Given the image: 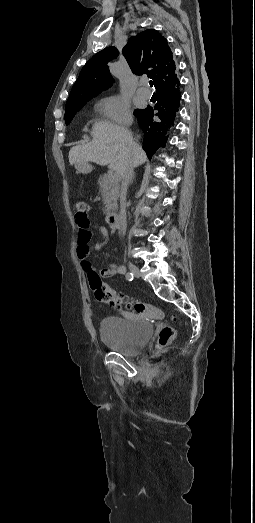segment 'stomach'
I'll use <instances>...</instances> for the list:
<instances>
[{
	"instance_id": "0dacf381",
	"label": "stomach",
	"mask_w": 255,
	"mask_h": 523,
	"mask_svg": "<svg viewBox=\"0 0 255 523\" xmlns=\"http://www.w3.org/2000/svg\"><path fill=\"white\" fill-rule=\"evenodd\" d=\"M79 174L81 176H90L92 174V167L90 165H81L79 167Z\"/></svg>"
}]
</instances>
